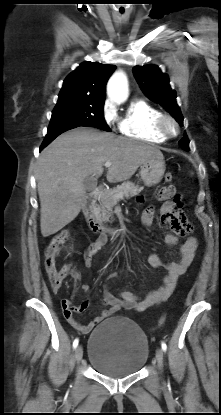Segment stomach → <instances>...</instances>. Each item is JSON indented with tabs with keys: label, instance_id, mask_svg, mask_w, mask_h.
Instances as JSON below:
<instances>
[{
	"label": "stomach",
	"instance_id": "1",
	"mask_svg": "<svg viewBox=\"0 0 221 415\" xmlns=\"http://www.w3.org/2000/svg\"><path fill=\"white\" fill-rule=\"evenodd\" d=\"M165 172V162L163 158L153 157L142 163L140 176L144 184L148 187L157 185L161 182Z\"/></svg>",
	"mask_w": 221,
	"mask_h": 415
}]
</instances>
